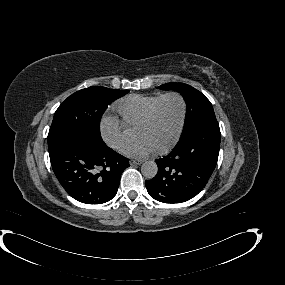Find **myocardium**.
Here are the masks:
<instances>
[{
	"instance_id": "1",
	"label": "myocardium",
	"mask_w": 285,
	"mask_h": 285,
	"mask_svg": "<svg viewBox=\"0 0 285 285\" xmlns=\"http://www.w3.org/2000/svg\"><path fill=\"white\" fill-rule=\"evenodd\" d=\"M171 97L177 98L180 101V103L182 105V112H181V117H180L178 127H177L175 133L173 134V136L166 143L156 147V149L158 151H161V152L169 149L177 141V139L180 137V135L183 131V128L185 125V120H186V115H187V104H186L184 97L177 92H168V93L162 95L158 99V101L155 103V105H154L152 111L150 112L149 116L138 126V129H140V128H145V127L149 126L150 124H152V122L155 120V118L157 116V113H158V110H159L161 103L164 100H166L167 98H171Z\"/></svg>"
}]
</instances>
